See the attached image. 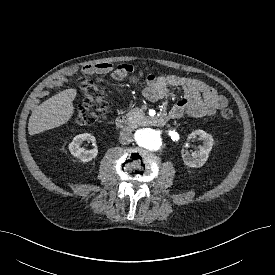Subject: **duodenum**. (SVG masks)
<instances>
[{
	"label": "duodenum",
	"instance_id": "410a0bca",
	"mask_svg": "<svg viewBox=\"0 0 275 275\" xmlns=\"http://www.w3.org/2000/svg\"><path fill=\"white\" fill-rule=\"evenodd\" d=\"M167 122L166 117H153L149 119V124L155 127H163ZM131 120L126 116H119L115 120V125L119 129H126L130 126Z\"/></svg>",
	"mask_w": 275,
	"mask_h": 275
}]
</instances>
